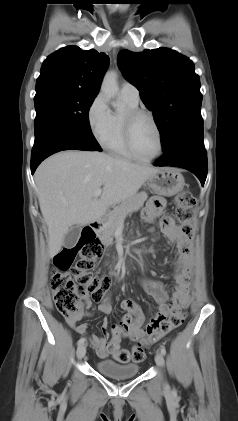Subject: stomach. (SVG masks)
Returning <instances> with one entry per match:
<instances>
[{
    "label": "stomach",
    "instance_id": "stomach-1",
    "mask_svg": "<svg viewBox=\"0 0 238 421\" xmlns=\"http://www.w3.org/2000/svg\"><path fill=\"white\" fill-rule=\"evenodd\" d=\"M147 185L157 194L173 196L183 190V175L174 168H159L147 179Z\"/></svg>",
    "mask_w": 238,
    "mask_h": 421
}]
</instances>
